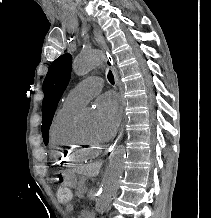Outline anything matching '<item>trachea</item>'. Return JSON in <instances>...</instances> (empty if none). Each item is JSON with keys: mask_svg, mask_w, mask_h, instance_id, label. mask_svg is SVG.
<instances>
[{"mask_svg": "<svg viewBox=\"0 0 211 218\" xmlns=\"http://www.w3.org/2000/svg\"><path fill=\"white\" fill-rule=\"evenodd\" d=\"M107 78H108L109 82H110L112 85H114L115 81H114V76H113L112 71H109V72H108Z\"/></svg>", "mask_w": 211, "mask_h": 218, "instance_id": "obj_1", "label": "trachea"}]
</instances>
